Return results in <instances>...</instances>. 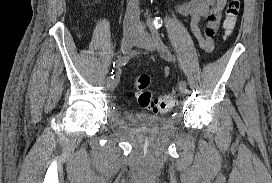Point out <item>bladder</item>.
I'll use <instances>...</instances> for the list:
<instances>
[{
	"mask_svg": "<svg viewBox=\"0 0 272 183\" xmlns=\"http://www.w3.org/2000/svg\"><path fill=\"white\" fill-rule=\"evenodd\" d=\"M125 117L130 126L143 128L150 133L160 132L169 123V119L165 116H155L148 113L128 112Z\"/></svg>",
	"mask_w": 272,
	"mask_h": 183,
	"instance_id": "1",
	"label": "bladder"
}]
</instances>
